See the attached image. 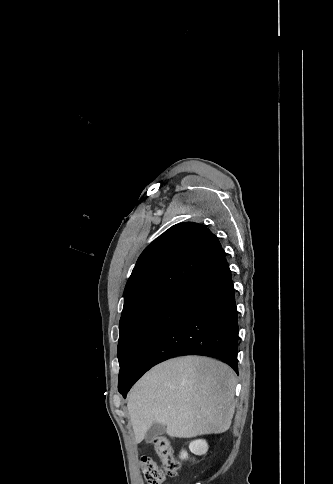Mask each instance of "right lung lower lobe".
I'll return each mask as SVG.
<instances>
[{"mask_svg":"<svg viewBox=\"0 0 333 484\" xmlns=\"http://www.w3.org/2000/svg\"><path fill=\"white\" fill-rule=\"evenodd\" d=\"M238 319L231 272L225 256L173 291L144 333L130 367L131 386L152 366L179 355L225 361L238 373Z\"/></svg>","mask_w":333,"mask_h":484,"instance_id":"1","label":"right lung lower lobe"}]
</instances>
